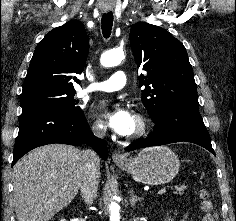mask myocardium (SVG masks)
Returning <instances> with one entry per match:
<instances>
[{
    "label": "myocardium",
    "mask_w": 236,
    "mask_h": 221,
    "mask_svg": "<svg viewBox=\"0 0 236 221\" xmlns=\"http://www.w3.org/2000/svg\"><path fill=\"white\" fill-rule=\"evenodd\" d=\"M134 120L136 124L135 129L128 136V139L131 141L138 140L146 136L150 129L149 121L144 115L137 113L134 115Z\"/></svg>",
    "instance_id": "1"
}]
</instances>
